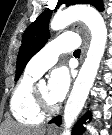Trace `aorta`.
Returning a JSON list of instances; mask_svg holds the SVG:
<instances>
[{
	"mask_svg": "<svg viewBox=\"0 0 112 135\" xmlns=\"http://www.w3.org/2000/svg\"><path fill=\"white\" fill-rule=\"evenodd\" d=\"M77 20H81L87 25L92 38L85 61L74 82L64 109L62 135L71 134V127L83 109L89 91L94 84L107 42L105 22L100 13L90 6L71 7L58 12L51 20L50 27L55 31L61 30Z\"/></svg>",
	"mask_w": 112,
	"mask_h": 135,
	"instance_id": "1",
	"label": "aorta"
}]
</instances>
